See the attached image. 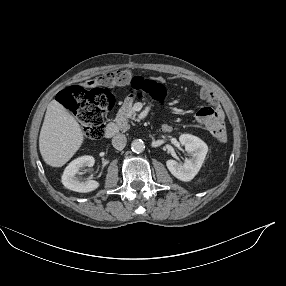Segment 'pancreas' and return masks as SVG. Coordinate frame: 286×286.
<instances>
[{
    "label": "pancreas",
    "instance_id": "obj_1",
    "mask_svg": "<svg viewBox=\"0 0 286 286\" xmlns=\"http://www.w3.org/2000/svg\"><path fill=\"white\" fill-rule=\"evenodd\" d=\"M135 115L132 105L130 103H124L117 113L116 122L119 125L125 124L129 118L133 119Z\"/></svg>",
    "mask_w": 286,
    "mask_h": 286
}]
</instances>
